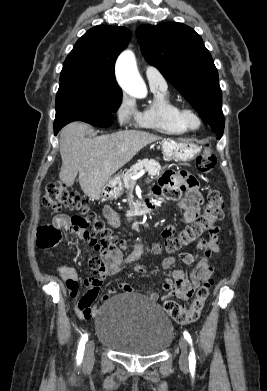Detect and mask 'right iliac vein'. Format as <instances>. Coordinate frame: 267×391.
<instances>
[{"mask_svg":"<svg viewBox=\"0 0 267 391\" xmlns=\"http://www.w3.org/2000/svg\"><path fill=\"white\" fill-rule=\"evenodd\" d=\"M94 360V342L92 340L88 341L85 353H84V366L88 367L93 363Z\"/></svg>","mask_w":267,"mask_h":391,"instance_id":"right-iliac-vein-1","label":"right iliac vein"}]
</instances>
